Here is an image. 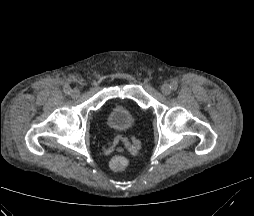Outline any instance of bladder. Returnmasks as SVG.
<instances>
[{
  "label": "bladder",
  "mask_w": 254,
  "mask_h": 216,
  "mask_svg": "<svg viewBox=\"0 0 254 216\" xmlns=\"http://www.w3.org/2000/svg\"><path fill=\"white\" fill-rule=\"evenodd\" d=\"M136 110L127 104L111 103L108 107L106 121L110 128L116 131H126L135 122Z\"/></svg>",
  "instance_id": "31cf9c89"
}]
</instances>
